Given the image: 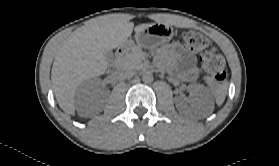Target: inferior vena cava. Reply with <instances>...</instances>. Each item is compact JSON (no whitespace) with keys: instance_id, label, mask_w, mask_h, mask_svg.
<instances>
[{"instance_id":"1","label":"inferior vena cava","mask_w":279,"mask_h":166,"mask_svg":"<svg viewBox=\"0 0 279 166\" xmlns=\"http://www.w3.org/2000/svg\"><path fill=\"white\" fill-rule=\"evenodd\" d=\"M121 75L126 79H130L136 75V71L133 69H125V71H123Z\"/></svg>"}]
</instances>
